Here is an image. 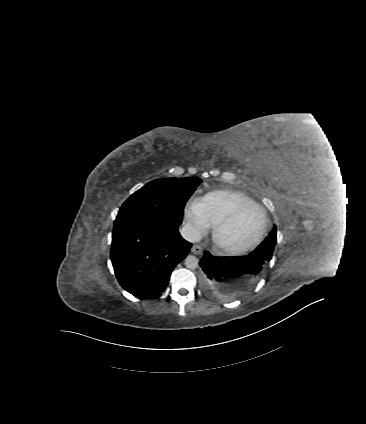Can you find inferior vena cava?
I'll return each instance as SVG.
<instances>
[{"instance_id": "1", "label": "inferior vena cava", "mask_w": 366, "mask_h": 424, "mask_svg": "<svg viewBox=\"0 0 366 424\" xmlns=\"http://www.w3.org/2000/svg\"><path fill=\"white\" fill-rule=\"evenodd\" d=\"M180 234L185 240L191 243H197L201 239V234L199 230L191 224H185L181 228Z\"/></svg>"}]
</instances>
